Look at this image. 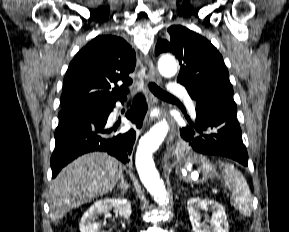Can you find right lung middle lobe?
<instances>
[{
  "instance_id": "1",
  "label": "right lung middle lobe",
  "mask_w": 289,
  "mask_h": 232,
  "mask_svg": "<svg viewBox=\"0 0 289 232\" xmlns=\"http://www.w3.org/2000/svg\"><path fill=\"white\" fill-rule=\"evenodd\" d=\"M96 109H98V108H83V109L65 110V111H61L58 114V117L60 120L72 119V118L88 115V114L92 113L93 111H95Z\"/></svg>"
}]
</instances>
